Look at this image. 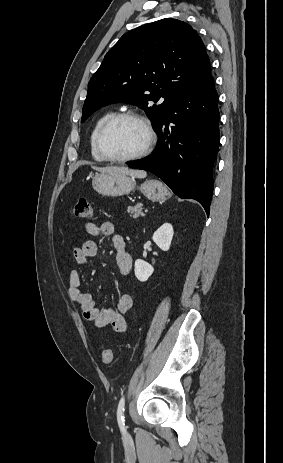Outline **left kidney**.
Here are the masks:
<instances>
[{"instance_id":"left-kidney-1","label":"left kidney","mask_w":283,"mask_h":463,"mask_svg":"<svg viewBox=\"0 0 283 463\" xmlns=\"http://www.w3.org/2000/svg\"><path fill=\"white\" fill-rule=\"evenodd\" d=\"M173 234L174 231L172 225L170 223H164L154 232L152 239L161 250L168 251L171 245ZM134 272L136 278L139 281L145 282L154 272V268L148 262L137 259L135 261Z\"/></svg>"}]
</instances>
